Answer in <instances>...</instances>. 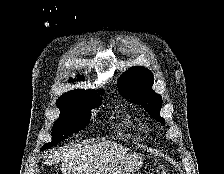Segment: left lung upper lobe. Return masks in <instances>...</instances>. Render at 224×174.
Returning <instances> with one entry per match:
<instances>
[{
	"label": "left lung upper lobe",
	"mask_w": 224,
	"mask_h": 174,
	"mask_svg": "<svg viewBox=\"0 0 224 174\" xmlns=\"http://www.w3.org/2000/svg\"><path fill=\"white\" fill-rule=\"evenodd\" d=\"M154 78L147 68L136 66L128 69L118 81L119 91L127 99L142 105L151 117L165 124L160 117L162 98L152 90Z\"/></svg>",
	"instance_id": "left-lung-upper-lobe-1"
}]
</instances>
